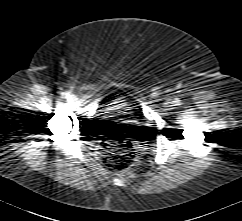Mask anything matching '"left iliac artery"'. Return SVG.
Listing matches in <instances>:
<instances>
[{
  "instance_id": "obj_1",
  "label": "left iliac artery",
  "mask_w": 242,
  "mask_h": 221,
  "mask_svg": "<svg viewBox=\"0 0 242 221\" xmlns=\"http://www.w3.org/2000/svg\"><path fill=\"white\" fill-rule=\"evenodd\" d=\"M174 102H175L176 105H180V100L179 99H175Z\"/></svg>"
}]
</instances>
